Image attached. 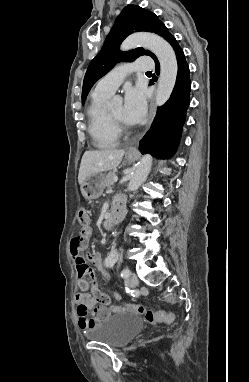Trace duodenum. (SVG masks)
Segmentation results:
<instances>
[{"instance_id":"410a0bca","label":"duodenum","mask_w":249,"mask_h":382,"mask_svg":"<svg viewBox=\"0 0 249 382\" xmlns=\"http://www.w3.org/2000/svg\"><path fill=\"white\" fill-rule=\"evenodd\" d=\"M125 213V202L122 200L116 201L112 206L110 214L104 221V229H109L115 222L122 221L125 217Z\"/></svg>"}]
</instances>
